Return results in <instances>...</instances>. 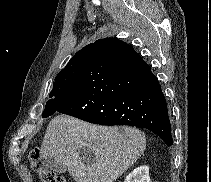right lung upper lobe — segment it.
Instances as JSON below:
<instances>
[{
	"mask_svg": "<svg viewBox=\"0 0 211 182\" xmlns=\"http://www.w3.org/2000/svg\"><path fill=\"white\" fill-rule=\"evenodd\" d=\"M94 43H91L85 47H83L80 51H78L69 61V63L67 64V66L65 68H71L77 65H87L89 56H90V52L92 50ZM64 68V69H65Z\"/></svg>",
	"mask_w": 211,
	"mask_h": 182,
	"instance_id": "1",
	"label": "right lung upper lobe"
}]
</instances>
